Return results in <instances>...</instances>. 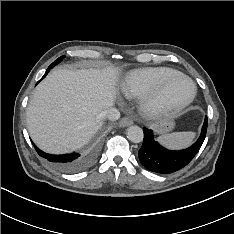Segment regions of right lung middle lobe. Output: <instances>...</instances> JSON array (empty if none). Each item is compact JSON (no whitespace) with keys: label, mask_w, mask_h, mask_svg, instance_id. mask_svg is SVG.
Listing matches in <instances>:
<instances>
[{"label":"right lung middle lobe","mask_w":234,"mask_h":234,"mask_svg":"<svg viewBox=\"0 0 234 234\" xmlns=\"http://www.w3.org/2000/svg\"><path fill=\"white\" fill-rule=\"evenodd\" d=\"M64 58V56H61L60 58H58L57 60H55L52 64L51 67H54L55 65H57L58 63L61 62V60Z\"/></svg>","instance_id":"1"}]
</instances>
